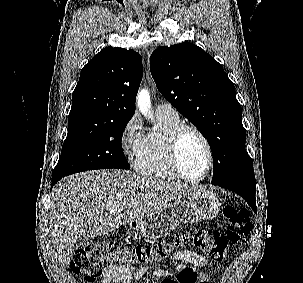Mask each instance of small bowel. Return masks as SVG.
Instances as JSON below:
<instances>
[{"instance_id":"small-bowel-1","label":"small bowel","mask_w":303,"mask_h":283,"mask_svg":"<svg viewBox=\"0 0 303 283\" xmlns=\"http://www.w3.org/2000/svg\"><path fill=\"white\" fill-rule=\"evenodd\" d=\"M172 259L175 261H187L196 267H204L208 264V259L194 251L179 250L173 253ZM184 265H179L177 269H184ZM146 268L131 269L126 267L114 266L106 269L99 280V283H131L132 275L139 281L144 279ZM202 282L209 283L207 277L201 278Z\"/></svg>"}]
</instances>
